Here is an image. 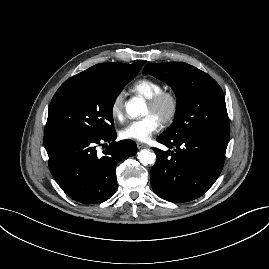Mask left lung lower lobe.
<instances>
[{
  "mask_svg": "<svg viewBox=\"0 0 269 269\" xmlns=\"http://www.w3.org/2000/svg\"><path fill=\"white\" fill-rule=\"evenodd\" d=\"M157 141L174 150L153 148L157 161L150 172L152 189L166 201L183 203L202 196L218 178L229 133L199 130L174 138L160 135Z\"/></svg>",
  "mask_w": 269,
  "mask_h": 269,
  "instance_id": "obj_1",
  "label": "left lung lower lobe"
}]
</instances>
